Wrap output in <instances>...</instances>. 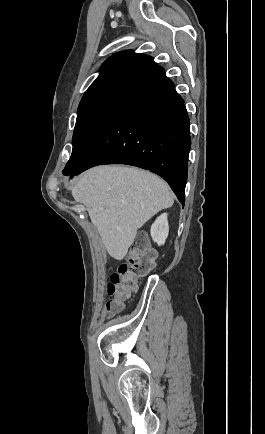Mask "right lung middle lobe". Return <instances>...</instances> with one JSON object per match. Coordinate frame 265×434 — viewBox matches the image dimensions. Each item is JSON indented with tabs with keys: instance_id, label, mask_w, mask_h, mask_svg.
<instances>
[{
	"instance_id": "1",
	"label": "right lung middle lobe",
	"mask_w": 265,
	"mask_h": 434,
	"mask_svg": "<svg viewBox=\"0 0 265 434\" xmlns=\"http://www.w3.org/2000/svg\"><path fill=\"white\" fill-rule=\"evenodd\" d=\"M134 75L121 74L93 82L84 94L77 112L73 134V151L65 169L83 158L114 104ZM64 169V170H65Z\"/></svg>"
}]
</instances>
